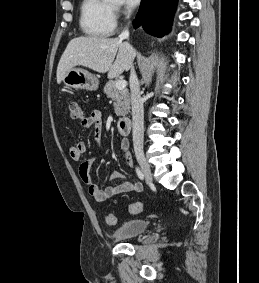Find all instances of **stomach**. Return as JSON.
<instances>
[{
    "label": "stomach",
    "instance_id": "1",
    "mask_svg": "<svg viewBox=\"0 0 259 283\" xmlns=\"http://www.w3.org/2000/svg\"><path fill=\"white\" fill-rule=\"evenodd\" d=\"M63 83L73 89L96 91L99 87L98 78L82 68H72L62 79Z\"/></svg>",
    "mask_w": 259,
    "mask_h": 283
}]
</instances>
